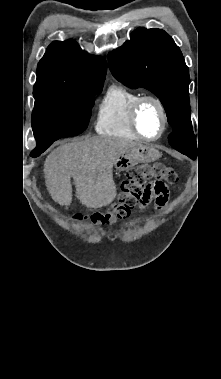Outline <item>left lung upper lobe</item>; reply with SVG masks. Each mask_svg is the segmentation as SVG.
Here are the masks:
<instances>
[{
    "label": "left lung upper lobe",
    "instance_id": "obj_1",
    "mask_svg": "<svg viewBox=\"0 0 221 379\" xmlns=\"http://www.w3.org/2000/svg\"><path fill=\"white\" fill-rule=\"evenodd\" d=\"M114 77L131 88L143 87L161 100L173 126L169 144L195 159L196 140L191 123L188 67L173 39L161 29L138 28L131 39L108 55Z\"/></svg>",
    "mask_w": 221,
    "mask_h": 379
}]
</instances>
